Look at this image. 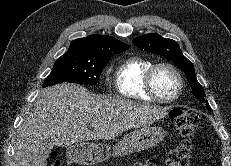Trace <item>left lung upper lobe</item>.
I'll return each instance as SVG.
<instances>
[{
  "instance_id": "left-lung-upper-lobe-1",
  "label": "left lung upper lobe",
  "mask_w": 231,
  "mask_h": 166,
  "mask_svg": "<svg viewBox=\"0 0 231 166\" xmlns=\"http://www.w3.org/2000/svg\"><path fill=\"white\" fill-rule=\"evenodd\" d=\"M133 44L141 50L156 53L173 61L176 66L184 71L196 98L201 102H205L207 109H211L205 99V92L196 79L193 64L183 55L176 41L163 38L157 33H150L135 38Z\"/></svg>"
}]
</instances>
